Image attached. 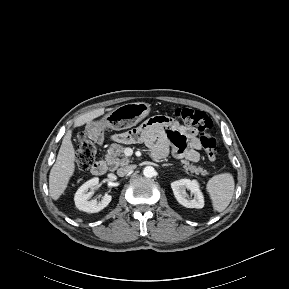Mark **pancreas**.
Instances as JSON below:
<instances>
[{
  "label": "pancreas",
  "mask_w": 289,
  "mask_h": 289,
  "mask_svg": "<svg viewBox=\"0 0 289 289\" xmlns=\"http://www.w3.org/2000/svg\"><path fill=\"white\" fill-rule=\"evenodd\" d=\"M125 147L119 144H112L111 147L107 150V154L105 156L106 162L108 165L112 166L113 169L118 168L119 166L128 165L131 160L124 155ZM121 157V158H119ZM181 164H183V168L186 171H190L191 173H195L196 175H207L208 171L203 169L200 166H195L189 163L187 160H182Z\"/></svg>",
  "instance_id": "pancreas-1"
}]
</instances>
